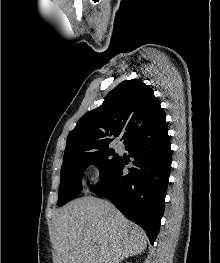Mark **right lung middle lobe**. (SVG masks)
<instances>
[{
	"mask_svg": "<svg viewBox=\"0 0 220 263\" xmlns=\"http://www.w3.org/2000/svg\"><path fill=\"white\" fill-rule=\"evenodd\" d=\"M119 160L120 157L110 148L65 153L60 172L58 205L65 204L80 193L83 171L90 164L99 166L100 178H102Z\"/></svg>",
	"mask_w": 220,
	"mask_h": 263,
	"instance_id": "1",
	"label": "right lung middle lobe"
}]
</instances>
